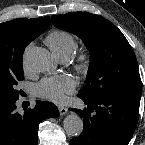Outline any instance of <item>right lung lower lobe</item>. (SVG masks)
Returning <instances> with one entry per match:
<instances>
[{
	"instance_id": "obj_1",
	"label": "right lung lower lobe",
	"mask_w": 145,
	"mask_h": 145,
	"mask_svg": "<svg viewBox=\"0 0 145 145\" xmlns=\"http://www.w3.org/2000/svg\"><path fill=\"white\" fill-rule=\"evenodd\" d=\"M15 102L0 100V145H37L38 124L45 118L58 117L57 107L36 101L34 109L19 114Z\"/></svg>"
}]
</instances>
